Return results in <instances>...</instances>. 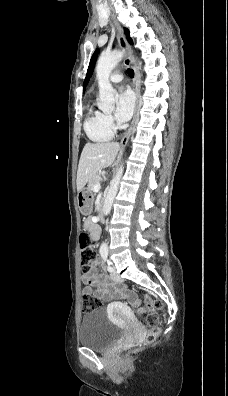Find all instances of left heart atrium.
I'll return each mask as SVG.
<instances>
[{"mask_svg": "<svg viewBox=\"0 0 228 396\" xmlns=\"http://www.w3.org/2000/svg\"><path fill=\"white\" fill-rule=\"evenodd\" d=\"M135 97L131 90L122 89L118 94L115 116L120 122L128 121L133 113Z\"/></svg>", "mask_w": 228, "mask_h": 396, "instance_id": "1", "label": "left heart atrium"}]
</instances>
